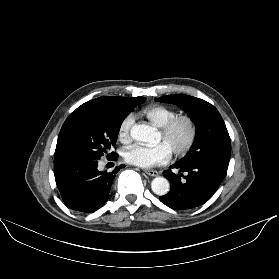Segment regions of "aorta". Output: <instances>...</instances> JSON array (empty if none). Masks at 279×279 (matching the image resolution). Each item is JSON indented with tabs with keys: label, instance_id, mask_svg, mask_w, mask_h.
Instances as JSON below:
<instances>
[{
	"label": "aorta",
	"instance_id": "obj_1",
	"mask_svg": "<svg viewBox=\"0 0 279 279\" xmlns=\"http://www.w3.org/2000/svg\"><path fill=\"white\" fill-rule=\"evenodd\" d=\"M130 135L134 140L145 143H153L156 139L154 128L146 124L134 125ZM151 189L157 195H165L170 189L169 181L164 177H156L152 180Z\"/></svg>",
	"mask_w": 279,
	"mask_h": 279
}]
</instances>
